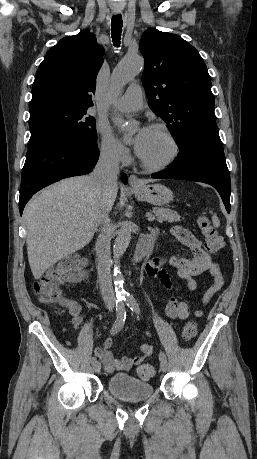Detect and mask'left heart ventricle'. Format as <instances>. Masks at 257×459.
Wrapping results in <instances>:
<instances>
[{
  "label": "left heart ventricle",
  "mask_w": 257,
  "mask_h": 459,
  "mask_svg": "<svg viewBox=\"0 0 257 459\" xmlns=\"http://www.w3.org/2000/svg\"><path fill=\"white\" fill-rule=\"evenodd\" d=\"M172 153L170 141L158 130L150 128L139 155L151 164L164 162Z\"/></svg>",
  "instance_id": "left-heart-ventricle-1"
}]
</instances>
